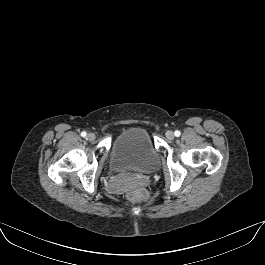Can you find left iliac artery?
<instances>
[{"instance_id": "44dca946", "label": "left iliac artery", "mask_w": 265, "mask_h": 265, "mask_svg": "<svg viewBox=\"0 0 265 265\" xmlns=\"http://www.w3.org/2000/svg\"><path fill=\"white\" fill-rule=\"evenodd\" d=\"M174 135H175L176 137H179V136L181 135V133H180V131L176 130V131L174 132Z\"/></svg>"}]
</instances>
